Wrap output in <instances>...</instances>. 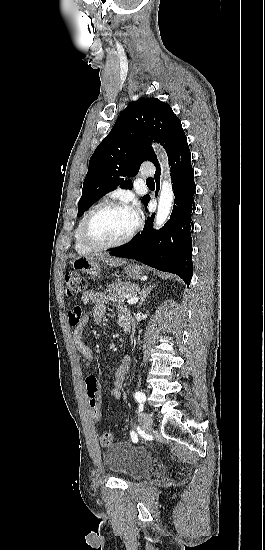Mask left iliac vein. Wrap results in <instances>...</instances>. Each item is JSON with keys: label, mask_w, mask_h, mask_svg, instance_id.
<instances>
[{"label": "left iliac vein", "mask_w": 265, "mask_h": 550, "mask_svg": "<svg viewBox=\"0 0 265 550\" xmlns=\"http://www.w3.org/2000/svg\"><path fill=\"white\" fill-rule=\"evenodd\" d=\"M140 423H141V425L143 426V428L145 430H150L152 425H153L152 415L147 413V412L141 413L140 414Z\"/></svg>", "instance_id": "obj_1"}]
</instances>
